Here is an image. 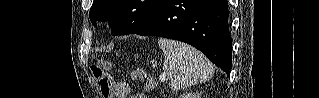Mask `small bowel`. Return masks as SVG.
<instances>
[{"mask_svg": "<svg viewBox=\"0 0 319 98\" xmlns=\"http://www.w3.org/2000/svg\"><path fill=\"white\" fill-rule=\"evenodd\" d=\"M131 87L125 82H114L113 83V95L115 98H129ZM135 98H147L143 94H137Z\"/></svg>", "mask_w": 319, "mask_h": 98, "instance_id": "c3829d8e", "label": "small bowel"}]
</instances>
